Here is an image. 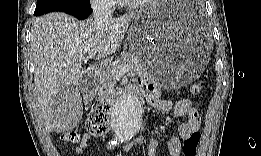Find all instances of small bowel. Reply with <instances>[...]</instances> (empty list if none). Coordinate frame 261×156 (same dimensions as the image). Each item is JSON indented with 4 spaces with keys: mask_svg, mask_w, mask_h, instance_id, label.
Returning a JSON list of instances; mask_svg holds the SVG:
<instances>
[{
    "mask_svg": "<svg viewBox=\"0 0 261 156\" xmlns=\"http://www.w3.org/2000/svg\"><path fill=\"white\" fill-rule=\"evenodd\" d=\"M132 87L137 93L143 94L148 102L158 110L162 112L173 111L178 117H186L185 122L178 123L176 125V134L169 138L167 147L170 156H179L181 153L182 145L181 140H186L193 133L199 132L201 126V117L198 110L193 106L192 102L183 98L176 102L170 99H162L159 95L157 87L152 84L145 82L141 79H135L132 82ZM91 136L88 133L83 134L79 145L75 149L76 156H82L83 153L89 147ZM143 139H137L134 144L142 145ZM157 153V140L152 139L148 146V155L155 156Z\"/></svg>",
    "mask_w": 261,
    "mask_h": 156,
    "instance_id": "c3829d8e",
    "label": "small bowel"
}]
</instances>
